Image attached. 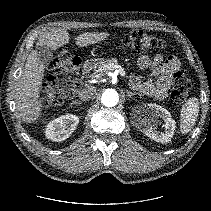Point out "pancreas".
I'll use <instances>...</instances> for the list:
<instances>
[{
	"instance_id": "cf45deb5",
	"label": "pancreas",
	"mask_w": 211,
	"mask_h": 211,
	"mask_svg": "<svg viewBox=\"0 0 211 211\" xmlns=\"http://www.w3.org/2000/svg\"><path fill=\"white\" fill-rule=\"evenodd\" d=\"M112 65H118V61L116 58H112L109 60L102 61L97 70H95V74L100 77L106 75L108 71L113 70Z\"/></svg>"
}]
</instances>
